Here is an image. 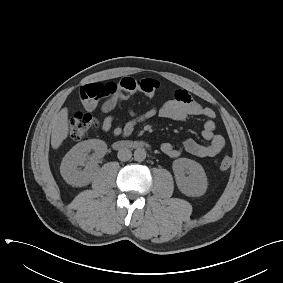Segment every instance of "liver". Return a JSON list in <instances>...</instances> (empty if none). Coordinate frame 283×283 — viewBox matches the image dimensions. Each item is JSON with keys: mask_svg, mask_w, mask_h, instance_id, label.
Masks as SVG:
<instances>
[{"mask_svg": "<svg viewBox=\"0 0 283 283\" xmlns=\"http://www.w3.org/2000/svg\"><path fill=\"white\" fill-rule=\"evenodd\" d=\"M51 146L53 149H58L62 142L67 138L68 125V109L65 107L54 116L51 122Z\"/></svg>", "mask_w": 283, "mask_h": 283, "instance_id": "6515ba94", "label": "liver"}]
</instances>
